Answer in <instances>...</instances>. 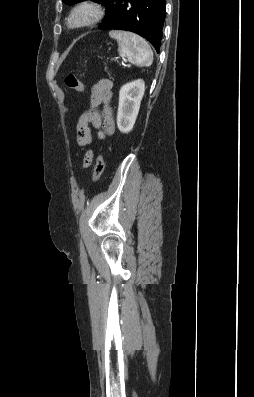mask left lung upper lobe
Returning <instances> with one entry per match:
<instances>
[{"instance_id": "5c2ea615", "label": "left lung upper lobe", "mask_w": 254, "mask_h": 397, "mask_svg": "<svg viewBox=\"0 0 254 397\" xmlns=\"http://www.w3.org/2000/svg\"><path fill=\"white\" fill-rule=\"evenodd\" d=\"M81 1H84V0H63V2L66 4H74V3L81 2ZM93 1L97 2V3H101L104 6H107L110 2V0H93Z\"/></svg>"}]
</instances>
